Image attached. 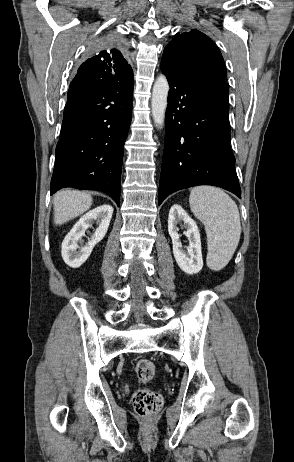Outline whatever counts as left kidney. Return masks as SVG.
I'll return each mask as SVG.
<instances>
[{"label": "left kidney", "instance_id": "left-kidney-1", "mask_svg": "<svg viewBox=\"0 0 294 462\" xmlns=\"http://www.w3.org/2000/svg\"><path fill=\"white\" fill-rule=\"evenodd\" d=\"M183 221L189 246L183 249L177 232V223ZM168 232L172 239L173 254L178 266L185 273H198L203 267L200 233L195 221L178 204H174L168 216Z\"/></svg>", "mask_w": 294, "mask_h": 462}]
</instances>
